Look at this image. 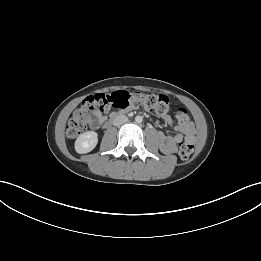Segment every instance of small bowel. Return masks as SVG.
<instances>
[{
	"label": "small bowel",
	"mask_w": 261,
	"mask_h": 261,
	"mask_svg": "<svg viewBox=\"0 0 261 261\" xmlns=\"http://www.w3.org/2000/svg\"><path fill=\"white\" fill-rule=\"evenodd\" d=\"M162 119L166 123H171V117L164 113L161 114ZM106 115L104 112H97L90 119V126L97 128L99 125L106 121ZM178 133L175 136H171L164 132L158 133L160 150L165 154H173L177 150L178 144L185 138L186 140H194V127L191 124L177 126Z\"/></svg>",
	"instance_id": "small-bowel-1"
}]
</instances>
